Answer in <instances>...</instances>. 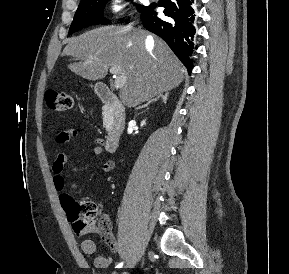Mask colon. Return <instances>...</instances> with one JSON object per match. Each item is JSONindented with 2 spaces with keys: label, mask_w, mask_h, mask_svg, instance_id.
Wrapping results in <instances>:
<instances>
[{
  "label": "colon",
  "mask_w": 289,
  "mask_h": 274,
  "mask_svg": "<svg viewBox=\"0 0 289 274\" xmlns=\"http://www.w3.org/2000/svg\"><path fill=\"white\" fill-rule=\"evenodd\" d=\"M47 106L58 112L69 110L73 101L69 94L64 91L50 89L45 94ZM62 204L69 219L74 222V229L78 234L93 229L101 236L109 237L111 232V221L107 215L95 219L98 216L97 205L92 201L77 202L69 195L62 197Z\"/></svg>",
  "instance_id": "obj_1"
}]
</instances>
